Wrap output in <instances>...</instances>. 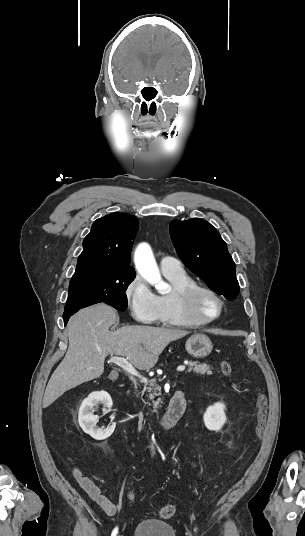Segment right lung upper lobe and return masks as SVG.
Listing matches in <instances>:
<instances>
[{"label":"right lung upper lobe","mask_w":305,"mask_h":536,"mask_svg":"<svg viewBox=\"0 0 305 536\" xmlns=\"http://www.w3.org/2000/svg\"><path fill=\"white\" fill-rule=\"evenodd\" d=\"M137 229L138 219L130 214L112 213L97 219L83 241L73 277L135 274L129 264Z\"/></svg>","instance_id":"1"}]
</instances>
